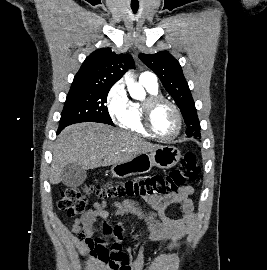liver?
<instances>
[{
  "label": "liver",
  "mask_w": 267,
  "mask_h": 270,
  "mask_svg": "<svg viewBox=\"0 0 267 270\" xmlns=\"http://www.w3.org/2000/svg\"><path fill=\"white\" fill-rule=\"evenodd\" d=\"M159 146L107 124L87 122L68 126L59 134L53 148L50 183L62 181L63 169L68 164H77L84 170L110 166Z\"/></svg>",
  "instance_id": "obj_1"
}]
</instances>
